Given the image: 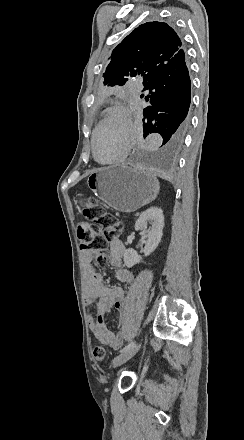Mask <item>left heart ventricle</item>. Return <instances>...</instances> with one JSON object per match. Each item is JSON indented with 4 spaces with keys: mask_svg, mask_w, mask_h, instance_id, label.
<instances>
[{
    "mask_svg": "<svg viewBox=\"0 0 244 440\" xmlns=\"http://www.w3.org/2000/svg\"><path fill=\"white\" fill-rule=\"evenodd\" d=\"M114 112L111 115L112 121L104 123L105 125L96 137L95 150L100 160H107L118 154L121 140L119 129L123 128L127 131L130 129L126 116L119 111Z\"/></svg>",
    "mask_w": 244,
    "mask_h": 440,
    "instance_id": "b2bd125f",
    "label": "left heart ventricle"
}]
</instances>
